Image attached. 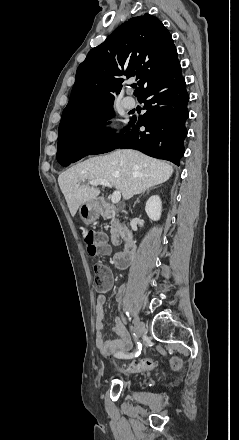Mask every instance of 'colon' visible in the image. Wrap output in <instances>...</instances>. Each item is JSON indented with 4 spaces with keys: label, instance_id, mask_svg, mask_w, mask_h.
Wrapping results in <instances>:
<instances>
[{
    "label": "colon",
    "instance_id": "5ec220e1",
    "mask_svg": "<svg viewBox=\"0 0 239 440\" xmlns=\"http://www.w3.org/2000/svg\"><path fill=\"white\" fill-rule=\"evenodd\" d=\"M85 242L87 244L88 253L92 257L106 254L109 250L106 243V236L101 231L91 230L87 232L85 235ZM94 272L96 287L99 290L104 289L109 282L107 269L102 264H96L94 266ZM152 366V362L149 359H140L124 366L122 371L126 373H136L150 369Z\"/></svg>",
    "mask_w": 239,
    "mask_h": 440
}]
</instances>
